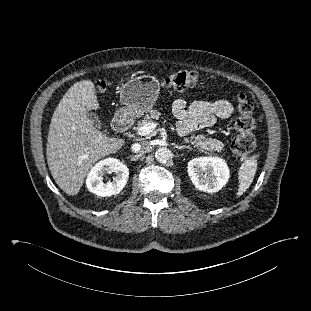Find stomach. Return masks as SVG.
Masks as SVG:
<instances>
[{
  "label": "stomach",
  "instance_id": "obj_1",
  "mask_svg": "<svg viewBox=\"0 0 311 311\" xmlns=\"http://www.w3.org/2000/svg\"><path fill=\"white\" fill-rule=\"evenodd\" d=\"M160 91L159 81L152 76H141L129 80L120 93L121 107L117 111L120 117H140L156 103Z\"/></svg>",
  "mask_w": 311,
  "mask_h": 311
}]
</instances>
